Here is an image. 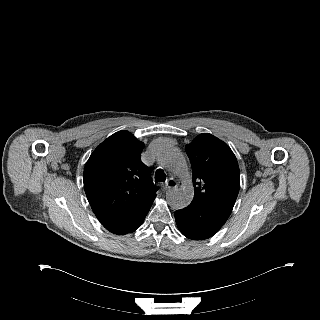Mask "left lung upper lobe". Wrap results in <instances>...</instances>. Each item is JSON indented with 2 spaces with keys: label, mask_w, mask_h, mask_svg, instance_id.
<instances>
[{
  "label": "left lung upper lobe",
  "mask_w": 320,
  "mask_h": 320,
  "mask_svg": "<svg viewBox=\"0 0 320 320\" xmlns=\"http://www.w3.org/2000/svg\"><path fill=\"white\" fill-rule=\"evenodd\" d=\"M192 166L195 201L231 213L239 189L237 159L229 146L217 137L203 133L186 146Z\"/></svg>",
  "instance_id": "5c2ea615"
}]
</instances>
